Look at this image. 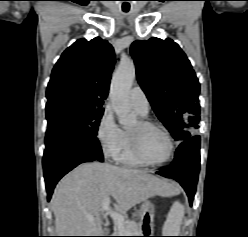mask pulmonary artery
<instances>
[{"mask_svg": "<svg viewBox=\"0 0 248 237\" xmlns=\"http://www.w3.org/2000/svg\"><path fill=\"white\" fill-rule=\"evenodd\" d=\"M129 98L132 106L142 114H148L149 101L141 87L135 86L129 93Z\"/></svg>", "mask_w": 248, "mask_h": 237, "instance_id": "1", "label": "pulmonary artery"}]
</instances>
